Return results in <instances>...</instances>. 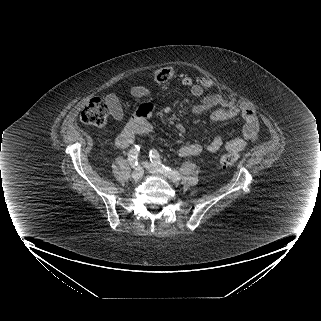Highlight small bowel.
Listing matches in <instances>:
<instances>
[{"instance_id": "obj_1", "label": "small bowel", "mask_w": 321, "mask_h": 321, "mask_svg": "<svg viewBox=\"0 0 321 321\" xmlns=\"http://www.w3.org/2000/svg\"><path fill=\"white\" fill-rule=\"evenodd\" d=\"M182 83L189 88L193 96H200L203 93L202 86L193 83L189 77H184ZM131 93L135 97H144L146 89L142 86H134ZM106 103L109 107L111 116L118 122L124 120L123 108L119 98L115 94L106 96ZM223 98L219 94H212L205 97L200 103L192 107V112L196 115L221 105ZM151 108L149 104L142 105L137 112L126 122L124 129L116 138V146L120 149L131 147L140 135L151 134L154 130L148 121ZM215 121H230L241 119L243 121L242 136L224 142L220 137H215L206 145V150L216 152L222 147L231 152H239L245 149L249 144L255 142L259 137V120L254 110L251 108H240L233 104H226L224 107L216 110L212 114ZM177 129L184 131L182 123L177 124ZM204 148L199 144H187L177 150L180 157L196 156L203 152Z\"/></svg>"}]
</instances>
